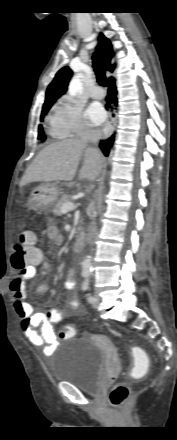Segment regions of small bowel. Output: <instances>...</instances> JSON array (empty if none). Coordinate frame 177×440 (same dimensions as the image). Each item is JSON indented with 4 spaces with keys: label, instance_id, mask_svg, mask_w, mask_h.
<instances>
[{
    "label": "small bowel",
    "instance_id": "1",
    "mask_svg": "<svg viewBox=\"0 0 177 440\" xmlns=\"http://www.w3.org/2000/svg\"><path fill=\"white\" fill-rule=\"evenodd\" d=\"M47 236L55 245L63 243V236L55 225H50L47 229ZM38 259L26 267L24 270L18 271L9 282V289L17 315L21 323V330L29 342L43 348L45 354L53 352L57 346V338L53 329V325L62 321L64 313L61 309L51 308L45 312H34L32 305L28 302L25 292V283L27 280L37 275V268L40 267V275L45 277L49 273V266L43 264V255L39 251ZM65 289L74 292L77 288L74 280V270L68 272V277L64 283ZM49 289L48 284H42L38 287V292L43 293ZM64 304L70 308L72 313L84 312V307L76 299H66ZM39 328V331L37 330Z\"/></svg>",
    "mask_w": 177,
    "mask_h": 440
}]
</instances>
